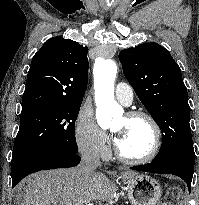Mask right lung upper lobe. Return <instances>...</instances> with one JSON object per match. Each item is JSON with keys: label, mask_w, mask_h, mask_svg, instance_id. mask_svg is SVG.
Listing matches in <instances>:
<instances>
[{"label": "right lung upper lobe", "mask_w": 199, "mask_h": 205, "mask_svg": "<svg viewBox=\"0 0 199 205\" xmlns=\"http://www.w3.org/2000/svg\"><path fill=\"white\" fill-rule=\"evenodd\" d=\"M88 48L57 36L34 55L22 111L43 105L81 104L88 81Z\"/></svg>", "instance_id": "cb5924a9"}]
</instances>
